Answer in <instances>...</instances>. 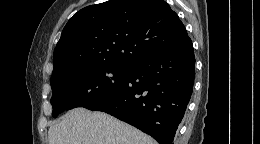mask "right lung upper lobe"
<instances>
[{"label": "right lung upper lobe", "instance_id": "obj_1", "mask_svg": "<svg viewBox=\"0 0 260 144\" xmlns=\"http://www.w3.org/2000/svg\"><path fill=\"white\" fill-rule=\"evenodd\" d=\"M188 38L163 0H109L70 18L53 54L52 77L97 65L129 67Z\"/></svg>", "mask_w": 260, "mask_h": 144}]
</instances>
